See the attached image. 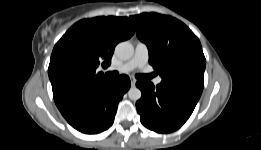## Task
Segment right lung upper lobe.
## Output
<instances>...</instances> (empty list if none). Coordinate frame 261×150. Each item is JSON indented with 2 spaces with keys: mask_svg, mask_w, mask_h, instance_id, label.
Masks as SVG:
<instances>
[{
  "mask_svg": "<svg viewBox=\"0 0 261 150\" xmlns=\"http://www.w3.org/2000/svg\"><path fill=\"white\" fill-rule=\"evenodd\" d=\"M134 27L127 17H96L75 23L54 46L48 75L59 109L114 79L96 68L107 67L116 44L129 39Z\"/></svg>",
  "mask_w": 261,
  "mask_h": 150,
  "instance_id": "right-lung-upper-lobe-1",
  "label": "right lung upper lobe"
}]
</instances>
